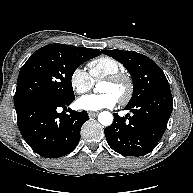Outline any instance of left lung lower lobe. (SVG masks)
<instances>
[{
  "label": "left lung lower lobe",
  "mask_w": 193,
  "mask_h": 193,
  "mask_svg": "<svg viewBox=\"0 0 193 193\" xmlns=\"http://www.w3.org/2000/svg\"><path fill=\"white\" fill-rule=\"evenodd\" d=\"M126 110L133 113L120 117L104 129L109 146L125 156H143L151 152L164 134L173 110L170 86H164Z\"/></svg>",
  "instance_id": "0a47b994"
}]
</instances>
